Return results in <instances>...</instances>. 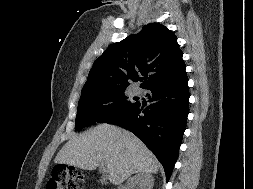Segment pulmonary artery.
Returning a JSON list of instances; mask_svg holds the SVG:
<instances>
[{
	"label": "pulmonary artery",
	"instance_id": "pulmonary-artery-1",
	"mask_svg": "<svg viewBox=\"0 0 253 189\" xmlns=\"http://www.w3.org/2000/svg\"><path fill=\"white\" fill-rule=\"evenodd\" d=\"M135 95H140L142 93L140 88H136L134 91Z\"/></svg>",
	"mask_w": 253,
	"mask_h": 189
}]
</instances>
